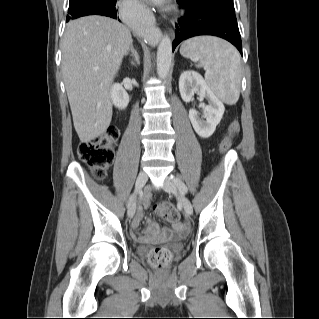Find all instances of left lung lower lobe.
Here are the masks:
<instances>
[{
	"label": "left lung lower lobe",
	"instance_id": "left-lung-lower-lobe-1",
	"mask_svg": "<svg viewBox=\"0 0 319 319\" xmlns=\"http://www.w3.org/2000/svg\"><path fill=\"white\" fill-rule=\"evenodd\" d=\"M177 2L180 8L186 10V13L175 25L176 37L172 43L173 51L185 39L199 35H213L226 39L242 54L241 36L235 13L194 0H177Z\"/></svg>",
	"mask_w": 319,
	"mask_h": 319
}]
</instances>
